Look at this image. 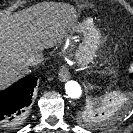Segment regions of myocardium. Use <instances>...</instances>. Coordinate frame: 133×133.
<instances>
[{"label":"myocardium","mask_w":133,"mask_h":133,"mask_svg":"<svg viewBox=\"0 0 133 133\" xmlns=\"http://www.w3.org/2000/svg\"><path fill=\"white\" fill-rule=\"evenodd\" d=\"M104 42V31L99 26H92L84 40L73 54V63L79 68L90 66L97 58Z\"/></svg>","instance_id":"obj_1"}]
</instances>
